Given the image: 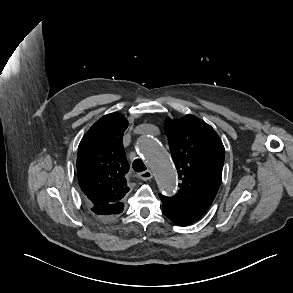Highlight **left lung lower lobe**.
Instances as JSON below:
<instances>
[{"mask_svg": "<svg viewBox=\"0 0 293 293\" xmlns=\"http://www.w3.org/2000/svg\"><path fill=\"white\" fill-rule=\"evenodd\" d=\"M159 196L162 200L164 213L179 226H188L203 215V213L187 207L173 197H164L161 194Z\"/></svg>", "mask_w": 293, "mask_h": 293, "instance_id": "left-lung-lower-lobe-1", "label": "left lung lower lobe"}]
</instances>
